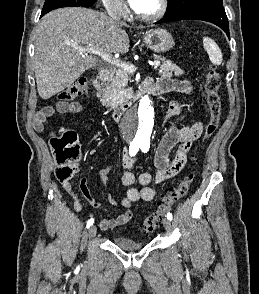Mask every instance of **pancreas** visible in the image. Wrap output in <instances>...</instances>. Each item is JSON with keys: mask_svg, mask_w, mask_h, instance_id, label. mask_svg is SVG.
<instances>
[{"mask_svg": "<svg viewBox=\"0 0 259 294\" xmlns=\"http://www.w3.org/2000/svg\"><path fill=\"white\" fill-rule=\"evenodd\" d=\"M155 60H161L158 74L162 77L180 76L184 72L180 67L171 61H165L156 55L153 56ZM130 72L117 68L112 71L106 82L103 84L101 100L104 105L108 107L127 104L131 97L128 94L131 92L127 88Z\"/></svg>", "mask_w": 259, "mask_h": 294, "instance_id": "obj_1", "label": "pancreas"}]
</instances>
